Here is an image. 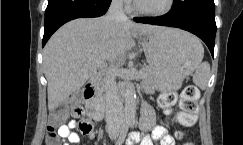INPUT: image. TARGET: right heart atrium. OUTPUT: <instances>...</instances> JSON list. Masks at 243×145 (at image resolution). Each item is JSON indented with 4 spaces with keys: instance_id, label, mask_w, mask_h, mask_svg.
I'll list each match as a JSON object with an SVG mask.
<instances>
[{
    "instance_id": "d8ad5b80",
    "label": "right heart atrium",
    "mask_w": 243,
    "mask_h": 145,
    "mask_svg": "<svg viewBox=\"0 0 243 145\" xmlns=\"http://www.w3.org/2000/svg\"><path fill=\"white\" fill-rule=\"evenodd\" d=\"M118 2H120L121 4L128 6L132 0H117Z\"/></svg>"
}]
</instances>
